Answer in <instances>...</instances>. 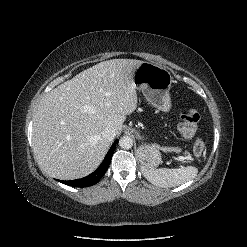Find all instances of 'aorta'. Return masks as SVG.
<instances>
[{
  "label": "aorta",
  "mask_w": 247,
  "mask_h": 247,
  "mask_svg": "<svg viewBox=\"0 0 247 247\" xmlns=\"http://www.w3.org/2000/svg\"><path fill=\"white\" fill-rule=\"evenodd\" d=\"M119 146L122 148V149H130L132 148L133 146V140L131 137L129 136H123L121 137V139L119 140Z\"/></svg>",
  "instance_id": "1"
}]
</instances>
